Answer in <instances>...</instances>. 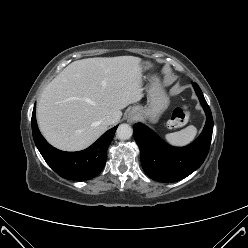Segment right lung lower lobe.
Returning a JSON list of instances; mask_svg holds the SVG:
<instances>
[{"label": "right lung lower lobe", "mask_w": 248, "mask_h": 248, "mask_svg": "<svg viewBox=\"0 0 248 248\" xmlns=\"http://www.w3.org/2000/svg\"><path fill=\"white\" fill-rule=\"evenodd\" d=\"M117 126L104 133L94 144L78 152H64L51 146L40 134L35 116L32 113V134L34 142L47 164L61 177L85 181L97 176L106 162V152Z\"/></svg>", "instance_id": "1"}]
</instances>
